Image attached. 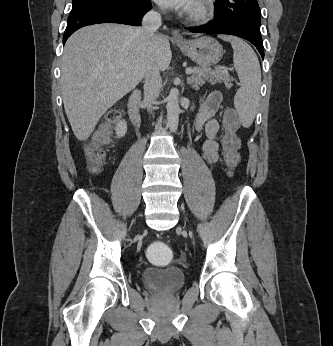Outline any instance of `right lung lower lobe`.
I'll return each instance as SVG.
<instances>
[{
  "instance_id": "right-lung-lower-lobe-1",
  "label": "right lung lower lobe",
  "mask_w": 333,
  "mask_h": 346,
  "mask_svg": "<svg viewBox=\"0 0 333 346\" xmlns=\"http://www.w3.org/2000/svg\"><path fill=\"white\" fill-rule=\"evenodd\" d=\"M150 0H134L127 7L116 4H95L71 11L63 35V44L81 27L99 23L140 25L142 16L151 9Z\"/></svg>"
}]
</instances>
